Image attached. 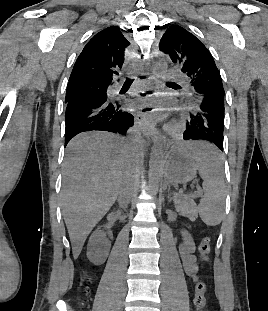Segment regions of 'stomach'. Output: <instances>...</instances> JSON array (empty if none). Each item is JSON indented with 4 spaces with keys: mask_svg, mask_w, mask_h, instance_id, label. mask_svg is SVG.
<instances>
[{
    "mask_svg": "<svg viewBox=\"0 0 268 311\" xmlns=\"http://www.w3.org/2000/svg\"><path fill=\"white\" fill-rule=\"evenodd\" d=\"M192 147L174 146L163 158L166 178L176 184H184L196 177L197 166L192 157Z\"/></svg>",
    "mask_w": 268,
    "mask_h": 311,
    "instance_id": "0dacf381",
    "label": "stomach"
}]
</instances>
